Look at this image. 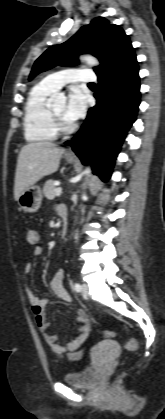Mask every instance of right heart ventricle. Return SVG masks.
I'll return each mask as SVG.
<instances>
[{
    "instance_id": "obj_1",
    "label": "right heart ventricle",
    "mask_w": 165,
    "mask_h": 419,
    "mask_svg": "<svg viewBox=\"0 0 165 419\" xmlns=\"http://www.w3.org/2000/svg\"><path fill=\"white\" fill-rule=\"evenodd\" d=\"M54 90L42 82L36 84L27 97L24 108V134L30 142H50L58 132L51 117L48 98Z\"/></svg>"
}]
</instances>
